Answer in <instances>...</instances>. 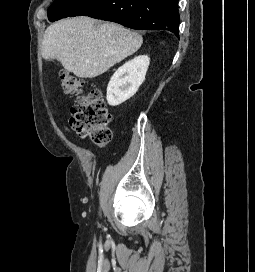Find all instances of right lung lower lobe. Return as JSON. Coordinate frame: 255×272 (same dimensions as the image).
<instances>
[{
  "mask_svg": "<svg viewBox=\"0 0 255 272\" xmlns=\"http://www.w3.org/2000/svg\"><path fill=\"white\" fill-rule=\"evenodd\" d=\"M80 15L132 29L168 30L179 37L178 0H90L70 17Z\"/></svg>",
  "mask_w": 255,
  "mask_h": 272,
  "instance_id": "right-lung-lower-lobe-1",
  "label": "right lung lower lobe"
}]
</instances>
